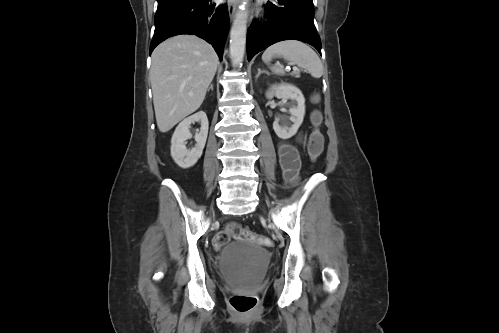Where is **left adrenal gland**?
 I'll return each mask as SVG.
<instances>
[{
	"instance_id": "a2214340",
	"label": "left adrenal gland",
	"mask_w": 499,
	"mask_h": 333,
	"mask_svg": "<svg viewBox=\"0 0 499 333\" xmlns=\"http://www.w3.org/2000/svg\"><path fill=\"white\" fill-rule=\"evenodd\" d=\"M262 73H267V72L262 71L261 69H258V73H257V75H256V79H258V77H259Z\"/></svg>"
}]
</instances>
